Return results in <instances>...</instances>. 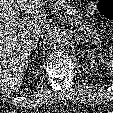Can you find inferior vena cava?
<instances>
[{
	"label": "inferior vena cava",
	"mask_w": 113,
	"mask_h": 113,
	"mask_svg": "<svg viewBox=\"0 0 113 113\" xmlns=\"http://www.w3.org/2000/svg\"><path fill=\"white\" fill-rule=\"evenodd\" d=\"M48 24L41 25L33 30L32 37L35 39L37 37H43L44 33L48 30Z\"/></svg>",
	"instance_id": "602c4592"
}]
</instances>
